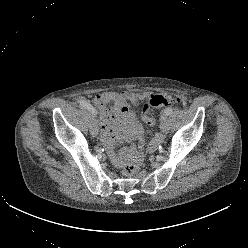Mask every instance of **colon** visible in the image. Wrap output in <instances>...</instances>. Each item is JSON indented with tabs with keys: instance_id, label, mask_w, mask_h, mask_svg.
<instances>
[{
	"instance_id": "1",
	"label": "colon",
	"mask_w": 248,
	"mask_h": 248,
	"mask_svg": "<svg viewBox=\"0 0 248 248\" xmlns=\"http://www.w3.org/2000/svg\"><path fill=\"white\" fill-rule=\"evenodd\" d=\"M172 104L184 105V102L180 98H171L164 95H151L145 102L142 118L147 125H153L155 123V117L153 114V109L160 106H169ZM139 160L135 159L126 164L123 169V173L126 176H134L139 171Z\"/></svg>"
}]
</instances>
